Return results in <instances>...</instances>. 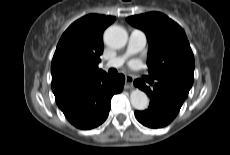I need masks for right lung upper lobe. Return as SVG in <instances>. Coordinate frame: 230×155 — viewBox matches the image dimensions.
<instances>
[{
	"mask_svg": "<svg viewBox=\"0 0 230 155\" xmlns=\"http://www.w3.org/2000/svg\"><path fill=\"white\" fill-rule=\"evenodd\" d=\"M115 21L113 16L89 14L63 33L51 64L52 91L62 92L105 74L98 68L103 53L102 34Z\"/></svg>",
	"mask_w": 230,
	"mask_h": 155,
	"instance_id": "1",
	"label": "right lung upper lobe"
}]
</instances>
